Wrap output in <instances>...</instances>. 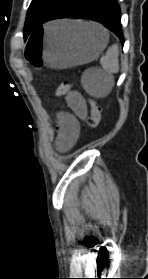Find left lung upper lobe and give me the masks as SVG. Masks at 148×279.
Segmentation results:
<instances>
[{
	"instance_id": "left-lung-upper-lobe-1",
	"label": "left lung upper lobe",
	"mask_w": 148,
	"mask_h": 279,
	"mask_svg": "<svg viewBox=\"0 0 148 279\" xmlns=\"http://www.w3.org/2000/svg\"><path fill=\"white\" fill-rule=\"evenodd\" d=\"M65 0H32L25 21L24 38L34 32Z\"/></svg>"
}]
</instances>
